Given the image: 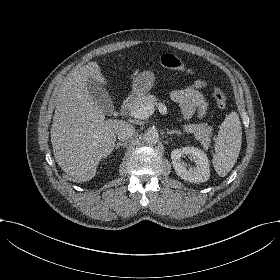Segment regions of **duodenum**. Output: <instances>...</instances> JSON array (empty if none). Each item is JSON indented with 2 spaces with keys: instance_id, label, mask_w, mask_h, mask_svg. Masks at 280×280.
I'll return each mask as SVG.
<instances>
[{
  "instance_id": "1",
  "label": "duodenum",
  "mask_w": 280,
  "mask_h": 280,
  "mask_svg": "<svg viewBox=\"0 0 280 280\" xmlns=\"http://www.w3.org/2000/svg\"><path fill=\"white\" fill-rule=\"evenodd\" d=\"M132 105H133V99L131 98L125 99L120 105L121 113H125L126 111H128L132 107Z\"/></svg>"
}]
</instances>
